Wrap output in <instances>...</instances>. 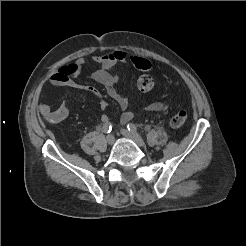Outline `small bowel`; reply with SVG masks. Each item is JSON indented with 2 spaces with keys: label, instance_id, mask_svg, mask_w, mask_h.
I'll use <instances>...</instances> for the list:
<instances>
[{
  "label": "small bowel",
  "instance_id": "obj_1",
  "mask_svg": "<svg viewBox=\"0 0 246 246\" xmlns=\"http://www.w3.org/2000/svg\"><path fill=\"white\" fill-rule=\"evenodd\" d=\"M126 60L127 53L122 50H117L105 55L92 56V61L100 66V68L92 74V77L96 82L104 86L108 96L115 100L122 109V114L120 116L122 123L130 121L134 117V113L129 109L128 98L121 95L117 90L116 84L118 82V77L112 70L116 65L124 63ZM84 63V59H78L71 64L59 68L48 77L46 83L50 86H67L91 92L98 99L99 106L103 111L101 115L102 121L104 123L109 122V118L104 112L108 107L106 99L96 88L80 85L75 81L76 77L81 73ZM165 109L166 105L162 102L152 103L145 108L148 112H162ZM38 111L50 123H60L64 121L69 114L68 107L65 104L52 108L50 104L43 101L38 104Z\"/></svg>",
  "mask_w": 246,
  "mask_h": 246
}]
</instances>
